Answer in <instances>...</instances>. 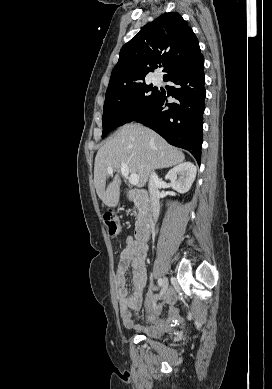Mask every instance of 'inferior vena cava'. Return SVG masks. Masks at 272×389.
Returning <instances> with one entry per match:
<instances>
[{
    "label": "inferior vena cava",
    "instance_id": "1",
    "mask_svg": "<svg viewBox=\"0 0 272 389\" xmlns=\"http://www.w3.org/2000/svg\"><path fill=\"white\" fill-rule=\"evenodd\" d=\"M160 184H161V180L159 179L158 175L154 171H152L149 176L148 189L150 193L151 209H152L154 222L157 221L160 212V203H159Z\"/></svg>",
    "mask_w": 272,
    "mask_h": 389
}]
</instances>
